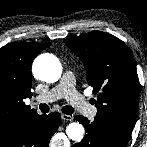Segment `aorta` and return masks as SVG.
Returning a JSON list of instances; mask_svg holds the SVG:
<instances>
[{
  "label": "aorta",
  "mask_w": 147,
  "mask_h": 147,
  "mask_svg": "<svg viewBox=\"0 0 147 147\" xmlns=\"http://www.w3.org/2000/svg\"><path fill=\"white\" fill-rule=\"evenodd\" d=\"M33 74L39 80L54 83L62 74V65L57 57L52 54H42L33 63ZM67 136L73 141H80L84 136V127L78 123H70L66 128Z\"/></svg>",
  "instance_id": "aorta-1"
}]
</instances>
